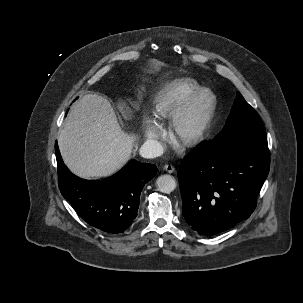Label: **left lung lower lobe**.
Returning <instances> with one entry per match:
<instances>
[{
  "mask_svg": "<svg viewBox=\"0 0 303 303\" xmlns=\"http://www.w3.org/2000/svg\"><path fill=\"white\" fill-rule=\"evenodd\" d=\"M269 153L236 142L201 144L178 171L186 222L213 236L247 219L269 173Z\"/></svg>",
  "mask_w": 303,
  "mask_h": 303,
  "instance_id": "0a47b994",
  "label": "left lung lower lobe"
}]
</instances>
